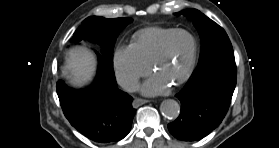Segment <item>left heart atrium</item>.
Returning <instances> with one entry per match:
<instances>
[{"label":"left heart atrium","mask_w":279,"mask_h":148,"mask_svg":"<svg viewBox=\"0 0 279 148\" xmlns=\"http://www.w3.org/2000/svg\"><path fill=\"white\" fill-rule=\"evenodd\" d=\"M169 86V82L154 74L142 85L141 89L144 94L154 96L166 93Z\"/></svg>","instance_id":"left-heart-atrium-1"}]
</instances>
